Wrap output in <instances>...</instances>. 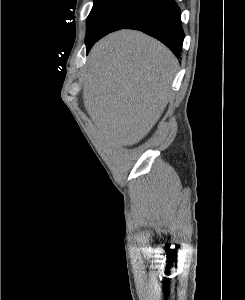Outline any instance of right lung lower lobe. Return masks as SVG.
I'll return each mask as SVG.
<instances>
[{
	"label": "right lung lower lobe",
	"mask_w": 245,
	"mask_h": 300,
	"mask_svg": "<svg viewBox=\"0 0 245 300\" xmlns=\"http://www.w3.org/2000/svg\"><path fill=\"white\" fill-rule=\"evenodd\" d=\"M181 23L179 7L175 1L168 0L155 6L124 29L139 30L160 40L179 57L185 37ZM92 45L87 46V53Z\"/></svg>",
	"instance_id": "right-lung-lower-lobe-1"
}]
</instances>
